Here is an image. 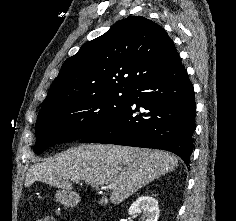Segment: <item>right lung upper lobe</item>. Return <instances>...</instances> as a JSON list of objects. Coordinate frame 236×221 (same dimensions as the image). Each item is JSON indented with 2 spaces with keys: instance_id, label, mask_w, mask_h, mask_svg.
<instances>
[{
  "instance_id": "1",
  "label": "right lung upper lobe",
  "mask_w": 236,
  "mask_h": 221,
  "mask_svg": "<svg viewBox=\"0 0 236 221\" xmlns=\"http://www.w3.org/2000/svg\"><path fill=\"white\" fill-rule=\"evenodd\" d=\"M177 56L172 39L155 22L142 16L120 20L63 63L42 108L103 92L131 90Z\"/></svg>"
}]
</instances>
